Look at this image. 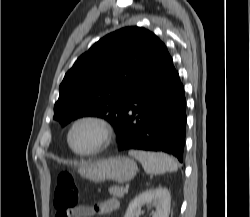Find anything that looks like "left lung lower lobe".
Returning a JSON list of instances; mask_svg holds the SVG:
<instances>
[{"instance_id":"1","label":"left lung lower lobe","mask_w":250,"mask_h":217,"mask_svg":"<svg viewBox=\"0 0 250 217\" xmlns=\"http://www.w3.org/2000/svg\"><path fill=\"white\" fill-rule=\"evenodd\" d=\"M186 99L164 43L149 71L137 83L117 131L118 150L161 151L182 162Z\"/></svg>"}]
</instances>
